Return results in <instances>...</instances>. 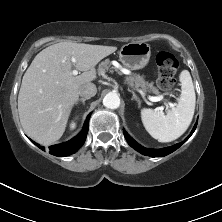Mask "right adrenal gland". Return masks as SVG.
<instances>
[{"instance_id": "right-adrenal-gland-1", "label": "right adrenal gland", "mask_w": 222, "mask_h": 222, "mask_svg": "<svg viewBox=\"0 0 222 222\" xmlns=\"http://www.w3.org/2000/svg\"><path fill=\"white\" fill-rule=\"evenodd\" d=\"M88 100L87 98H80L76 101L75 105L77 106L80 102L82 103V105H85V101Z\"/></svg>"}]
</instances>
